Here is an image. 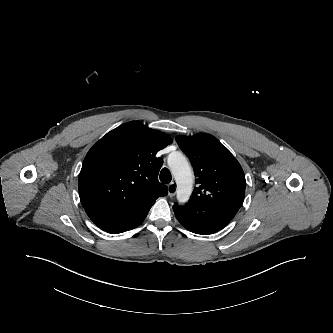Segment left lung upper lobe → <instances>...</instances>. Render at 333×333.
<instances>
[{
	"label": "left lung upper lobe",
	"mask_w": 333,
	"mask_h": 333,
	"mask_svg": "<svg viewBox=\"0 0 333 333\" xmlns=\"http://www.w3.org/2000/svg\"><path fill=\"white\" fill-rule=\"evenodd\" d=\"M176 141L190 158L198 186L189 202L201 203L222 197L245 196L246 180L242 167L219 140L207 133L177 136Z\"/></svg>",
	"instance_id": "5c2ea615"
}]
</instances>
